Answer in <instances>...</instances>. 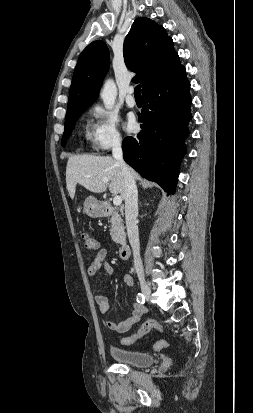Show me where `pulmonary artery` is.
Instances as JSON below:
<instances>
[{
  "instance_id": "1",
  "label": "pulmonary artery",
  "mask_w": 253,
  "mask_h": 413,
  "mask_svg": "<svg viewBox=\"0 0 253 413\" xmlns=\"http://www.w3.org/2000/svg\"><path fill=\"white\" fill-rule=\"evenodd\" d=\"M133 93H134V89H133V88H129V89H128L127 96H126V104H127V106L130 107V108H133V107H135V105H136V101H135V99H134Z\"/></svg>"
}]
</instances>
